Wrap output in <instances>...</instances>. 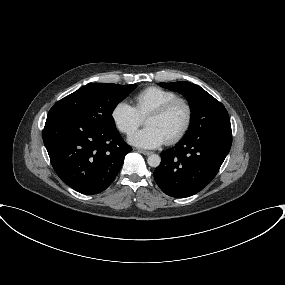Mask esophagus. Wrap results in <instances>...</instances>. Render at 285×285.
I'll list each match as a JSON object with an SVG mask.
<instances>
[{
	"instance_id": "1",
	"label": "esophagus",
	"mask_w": 285,
	"mask_h": 285,
	"mask_svg": "<svg viewBox=\"0 0 285 285\" xmlns=\"http://www.w3.org/2000/svg\"><path fill=\"white\" fill-rule=\"evenodd\" d=\"M137 151H138L139 153L144 154V155H150V154H152V152H151V151H148V150L137 149Z\"/></svg>"
}]
</instances>
